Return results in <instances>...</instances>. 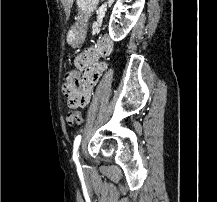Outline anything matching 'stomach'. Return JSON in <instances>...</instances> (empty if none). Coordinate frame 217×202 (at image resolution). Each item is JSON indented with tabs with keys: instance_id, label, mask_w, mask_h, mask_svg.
I'll return each instance as SVG.
<instances>
[{
	"instance_id": "0dacf381",
	"label": "stomach",
	"mask_w": 217,
	"mask_h": 202,
	"mask_svg": "<svg viewBox=\"0 0 217 202\" xmlns=\"http://www.w3.org/2000/svg\"><path fill=\"white\" fill-rule=\"evenodd\" d=\"M99 0H76L77 22L67 32L66 42L72 48H79L85 42L87 36L88 22L92 12L96 10Z\"/></svg>"
}]
</instances>
